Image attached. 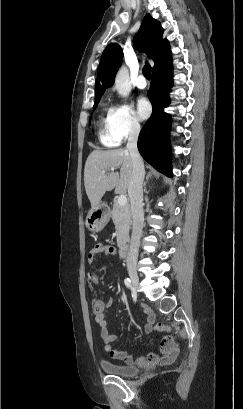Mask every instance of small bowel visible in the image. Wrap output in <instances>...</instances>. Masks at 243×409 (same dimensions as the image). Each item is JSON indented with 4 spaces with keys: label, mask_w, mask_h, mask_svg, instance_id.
Segmentation results:
<instances>
[{
    "label": "small bowel",
    "mask_w": 243,
    "mask_h": 409,
    "mask_svg": "<svg viewBox=\"0 0 243 409\" xmlns=\"http://www.w3.org/2000/svg\"><path fill=\"white\" fill-rule=\"evenodd\" d=\"M114 255L116 254V248L112 245L98 243L87 256V261L90 265L94 264L96 261L97 255ZM91 281L94 284L100 282L99 275L92 273ZM112 299L108 301L103 300L104 305H110ZM146 315V322L144 325V331L146 333H152L154 330L155 315L147 307L143 309ZM94 319L97 326L100 328L101 338L104 344L105 350L110 354L114 359L122 360L127 364L139 363L140 365H149V364H158V365H169L172 364L179 355L180 349L176 340L172 336H164L160 340L159 350L152 352L147 356H141L139 358H134L125 351L116 350L113 348L112 344L116 341L117 337L108 331V320L104 313V310L98 313H94Z\"/></svg>",
    "instance_id": "c3829d8e"
}]
</instances>
